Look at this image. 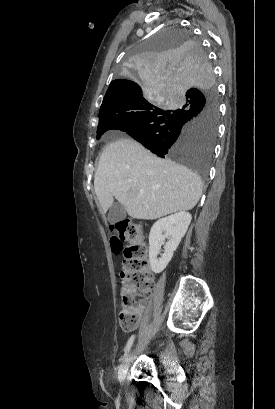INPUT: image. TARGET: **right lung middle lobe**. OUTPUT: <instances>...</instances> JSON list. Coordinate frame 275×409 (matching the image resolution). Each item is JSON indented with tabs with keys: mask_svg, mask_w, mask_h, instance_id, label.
Segmentation results:
<instances>
[{
	"mask_svg": "<svg viewBox=\"0 0 275 409\" xmlns=\"http://www.w3.org/2000/svg\"><path fill=\"white\" fill-rule=\"evenodd\" d=\"M136 48L126 50L117 70L147 92L100 112L97 139L110 129L125 131L157 156L190 166L206 182L218 107L202 41L180 24H167L166 30L137 42Z\"/></svg>",
	"mask_w": 275,
	"mask_h": 409,
	"instance_id": "obj_1",
	"label": "right lung middle lobe"
}]
</instances>
